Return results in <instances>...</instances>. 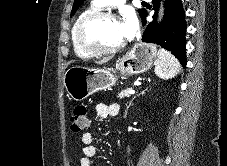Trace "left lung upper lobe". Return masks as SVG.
<instances>
[{"instance_id": "1", "label": "left lung upper lobe", "mask_w": 227, "mask_h": 166, "mask_svg": "<svg viewBox=\"0 0 227 166\" xmlns=\"http://www.w3.org/2000/svg\"><path fill=\"white\" fill-rule=\"evenodd\" d=\"M84 1H85V0H75V1H74L73 9H72V11H71V16L74 15V13H75V12L77 11V9L83 4ZM145 11H146L145 9H140V10H139V13H140L141 18H143Z\"/></svg>"}]
</instances>
